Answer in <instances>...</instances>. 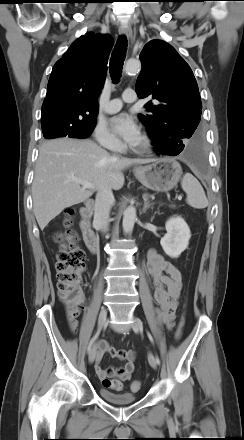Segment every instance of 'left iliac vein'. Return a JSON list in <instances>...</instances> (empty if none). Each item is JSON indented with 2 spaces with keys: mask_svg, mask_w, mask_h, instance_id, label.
<instances>
[{
  "mask_svg": "<svg viewBox=\"0 0 244 440\" xmlns=\"http://www.w3.org/2000/svg\"><path fill=\"white\" fill-rule=\"evenodd\" d=\"M132 328H133L134 332H136V333L142 332V330H143V325H142V322H141V320H140L139 318L134 317V321H133V324H132ZM148 361H149V364H150L153 368H156V367H157V364H156V362H155V358H154V356H153L151 353H149V355H148Z\"/></svg>",
  "mask_w": 244,
  "mask_h": 440,
  "instance_id": "left-iliac-vein-1",
  "label": "left iliac vein"
}]
</instances>
